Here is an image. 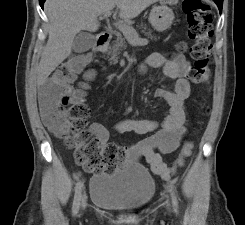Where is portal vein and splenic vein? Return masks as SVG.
I'll list each match as a JSON object with an SVG mask.
<instances>
[{"label":"portal vein and splenic vein","instance_id":"1","mask_svg":"<svg viewBox=\"0 0 245 225\" xmlns=\"http://www.w3.org/2000/svg\"><path fill=\"white\" fill-rule=\"evenodd\" d=\"M110 15L111 11H107L103 14V17H109ZM115 26L123 33V35L130 41L132 45H143L148 43L147 39L139 37L138 33L132 26L122 23H115Z\"/></svg>","mask_w":245,"mask_h":225}]
</instances>
